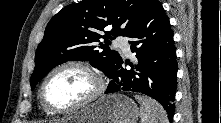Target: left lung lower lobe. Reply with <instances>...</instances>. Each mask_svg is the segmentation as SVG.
Here are the masks:
<instances>
[{
	"instance_id": "1",
	"label": "left lung lower lobe",
	"mask_w": 221,
	"mask_h": 123,
	"mask_svg": "<svg viewBox=\"0 0 221 123\" xmlns=\"http://www.w3.org/2000/svg\"><path fill=\"white\" fill-rule=\"evenodd\" d=\"M131 51L136 53L137 64L120 58L109 76L105 93L133 91L146 94L162 104L172 120L177 88V60L173 33L163 6L156 1L139 25L129 35Z\"/></svg>"
}]
</instances>
